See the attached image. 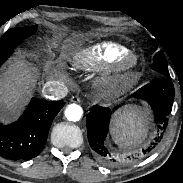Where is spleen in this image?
I'll return each mask as SVG.
<instances>
[{
  "label": "spleen",
  "instance_id": "3e777b00",
  "mask_svg": "<svg viewBox=\"0 0 183 183\" xmlns=\"http://www.w3.org/2000/svg\"><path fill=\"white\" fill-rule=\"evenodd\" d=\"M147 110L127 106L114 113L111 134L121 147H132L143 141L147 135Z\"/></svg>",
  "mask_w": 183,
  "mask_h": 183
}]
</instances>
